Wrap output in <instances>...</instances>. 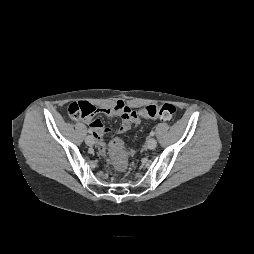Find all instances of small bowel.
<instances>
[{"instance_id":"1","label":"small bowel","mask_w":254,"mask_h":254,"mask_svg":"<svg viewBox=\"0 0 254 254\" xmlns=\"http://www.w3.org/2000/svg\"><path fill=\"white\" fill-rule=\"evenodd\" d=\"M98 111L107 117L121 118V124L117 130L119 134H124L131 127H138L141 124L139 115L121 100L117 101L113 106L102 107ZM89 126L97 140L99 151L104 153L107 147L104 138L109 130L99 119L89 120Z\"/></svg>"}]
</instances>
